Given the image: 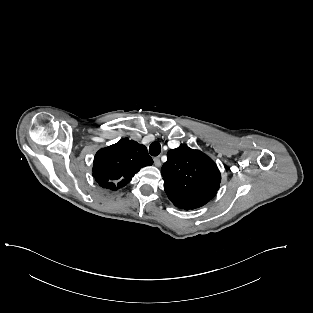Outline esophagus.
<instances>
[{"instance_id": "obj_1", "label": "esophagus", "mask_w": 313, "mask_h": 313, "mask_svg": "<svg viewBox=\"0 0 313 313\" xmlns=\"http://www.w3.org/2000/svg\"><path fill=\"white\" fill-rule=\"evenodd\" d=\"M153 160H154L155 166H157V167H160V166H161V161H160V158H159V157H155Z\"/></svg>"}]
</instances>
